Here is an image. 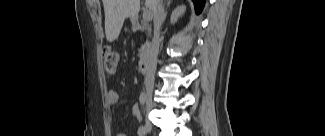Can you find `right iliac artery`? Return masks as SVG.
<instances>
[{"label": "right iliac artery", "instance_id": "obj_1", "mask_svg": "<svg viewBox=\"0 0 325 136\" xmlns=\"http://www.w3.org/2000/svg\"><path fill=\"white\" fill-rule=\"evenodd\" d=\"M146 134V128L144 126H141L139 129H138V135L139 136H144Z\"/></svg>", "mask_w": 325, "mask_h": 136}]
</instances>
